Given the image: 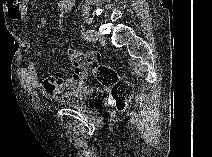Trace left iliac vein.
<instances>
[{"label":"left iliac vein","instance_id":"obj_1","mask_svg":"<svg viewBox=\"0 0 212 157\" xmlns=\"http://www.w3.org/2000/svg\"><path fill=\"white\" fill-rule=\"evenodd\" d=\"M94 37L100 43H102V44L106 43V38L101 33H99L98 31H94Z\"/></svg>","mask_w":212,"mask_h":157}]
</instances>
